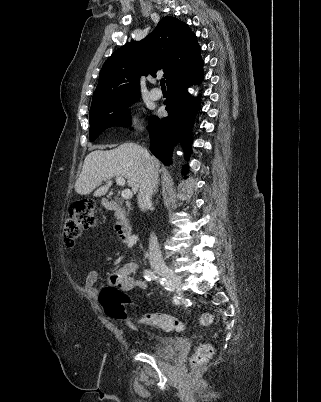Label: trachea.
I'll return each mask as SVG.
<instances>
[{
    "label": "trachea",
    "mask_w": 321,
    "mask_h": 402,
    "mask_svg": "<svg viewBox=\"0 0 321 402\" xmlns=\"http://www.w3.org/2000/svg\"><path fill=\"white\" fill-rule=\"evenodd\" d=\"M160 84L162 88H166L164 79H161Z\"/></svg>",
    "instance_id": "3493384b"
}]
</instances>
